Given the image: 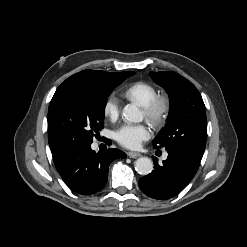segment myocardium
<instances>
[{"label":"myocardium","mask_w":247,"mask_h":247,"mask_svg":"<svg viewBox=\"0 0 247 247\" xmlns=\"http://www.w3.org/2000/svg\"><path fill=\"white\" fill-rule=\"evenodd\" d=\"M171 110L168 96L157 95L149 104L143 107V113L148 122L159 127L167 120Z\"/></svg>","instance_id":"1"}]
</instances>
